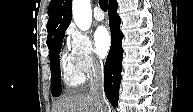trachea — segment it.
Returning <instances> with one entry per match:
<instances>
[{"label": "trachea", "instance_id": "1", "mask_svg": "<svg viewBox=\"0 0 193 112\" xmlns=\"http://www.w3.org/2000/svg\"><path fill=\"white\" fill-rule=\"evenodd\" d=\"M99 5L103 11H107V8H108L107 0H99Z\"/></svg>", "mask_w": 193, "mask_h": 112}]
</instances>
